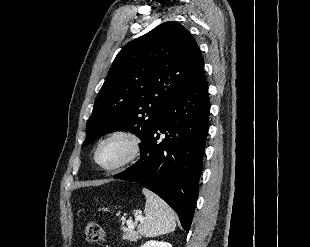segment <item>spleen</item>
I'll return each mask as SVG.
<instances>
[{
  "label": "spleen",
  "instance_id": "spleen-1",
  "mask_svg": "<svg viewBox=\"0 0 310 247\" xmlns=\"http://www.w3.org/2000/svg\"><path fill=\"white\" fill-rule=\"evenodd\" d=\"M146 197L145 216L138 226L139 233L146 237H156L173 232L176 227L175 213L170 206L153 192L143 188Z\"/></svg>",
  "mask_w": 310,
  "mask_h": 247
}]
</instances>
